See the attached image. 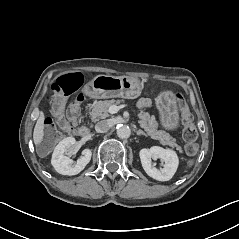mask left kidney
I'll return each instance as SVG.
<instances>
[{
	"label": "left kidney",
	"mask_w": 239,
	"mask_h": 239,
	"mask_svg": "<svg viewBox=\"0 0 239 239\" xmlns=\"http://www.w3.org/2000/svg\"><path fill=\"white\" fill-rule=\"evenodd\" d=\"M140 160L145 172L152 178L159 181H168L175 174L179 159L175 151L171 149H164L162 147L153 146L150 149H141ZM152 159H160L163 164V168L157 169L152 164Z\"/></svg>",
	"instance_id": "left-kidney-1"
}]
</instances>
